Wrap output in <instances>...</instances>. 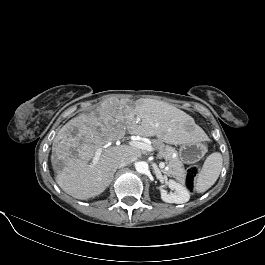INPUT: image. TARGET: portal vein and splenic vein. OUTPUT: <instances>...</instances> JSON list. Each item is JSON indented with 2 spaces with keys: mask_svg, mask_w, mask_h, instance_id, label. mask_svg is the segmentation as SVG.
Returning <instances> with one entry per match:
<instances>
[{
  "mask_svg": "<svg viewBox=\"0 0 265 265\" xmlns=\"http://www.w3.org/2000/svg\"><path fill=\"white\" fill-rule=\"evenodd\" d=\"M129 145L132 146V147H135V148H138V149H141V150H145V151H148V152H152V151H155V147L145 143V142H142V141H139L137 139H132L130 142H129ZM103 149L104 147H99L96 149L95 151V155L93 157V160H92V166H95L99 159H100V156L103 152ZM159 168L160 169H163L165 168V163L164 162H160L159 163ZM167 168V167H166Z\"/></svg>",
  "mask_w": 265,
  "mask_h": 265,
  "instance_id": "1",
  "label": "portal vein and splenic vein"
}]
</instances>
